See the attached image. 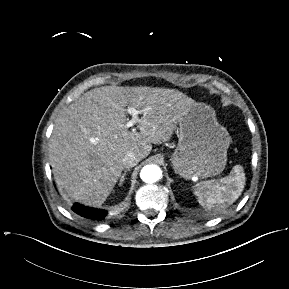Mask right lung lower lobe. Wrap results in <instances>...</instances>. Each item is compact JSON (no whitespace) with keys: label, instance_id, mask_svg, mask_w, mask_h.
Listing matches in <instances>:
<instances>
[{"label":"right lung lower lobe","instance_id":"98d812e1","mask_svg":"<svg viewBox=\"0 0 289 289\" xmlns=\"http://www.w3.org/2000/svg\"><path fill=\"white\" fill-rule=\"evenodd\" d=\"M72 210L77 213L78 215L88 218V219H92V220H96V221H101L103 220L106 215H107V211L106 210H100V209H95V208H89V207H85L82 206L78 203H75L72 206Z\"/></svg>","mask_w":289,"mask_h":289}]
</instances>
